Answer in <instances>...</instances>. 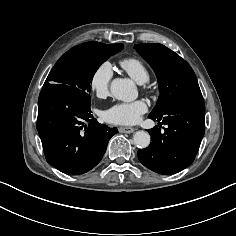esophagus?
Wrapping results in <instances>:
<instances>
[{
	"mask_svg": "<svg viewBox=\"0 0 236 236\" xmlns=\"http://www.w3.org/2000/svg\"><path fill=\"white\" fill-rule=\"evenodd\" d=\"M118 130L121 133H133L135 131V128H132V127H120Z\"/></svg>",
	"mask_w": 236,
	"mask_h": 236,
	"instance_id": "34e87169",
	"label": "esophagus"
}]
</instances>
